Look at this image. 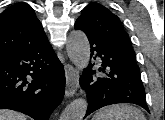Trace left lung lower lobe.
<instances>
[{"instance_id": "1", "label": "left lung lower lobe", "mask_w": 165, "mask_h": 120, "mask_svg": "<svg viewBox=\"0 0 165 120\" xmlns=\"http://www.w3.org/2000/svg\"><path fill=\"white\" fill-rule=\"evenodd\" d=\"M75 29L82 30L86 34L90 43L91 57L96 54L101 64L97 71L90 70L89 75L80 77V85L86 91L88 100L85 117L101 107L116 103H134L149 112L137 64L86 31L80 23L75 22ZM92 66L90 64V67Z\"/></svg>"}]
</instances>
